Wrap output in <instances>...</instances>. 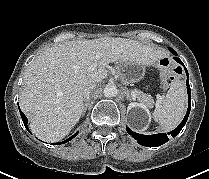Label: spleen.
<instances>
[{"label": "spleen", "instance_id": "obj_1", "mask_svg": "<svg viewBox=\"0 0 209 179\" xmlns=\"http://www.w3.org/2000/svg\"><path fill=\"white\" fill-rule=\"evenodd\" d=\"M186 102L187 93L184 82L173 81L166 95L161 98V105L153 111L154 120L165 131L175 129L184 117Z\"/></svg>", "mask_w": 209, "mask_h": 179}]
</instances>
